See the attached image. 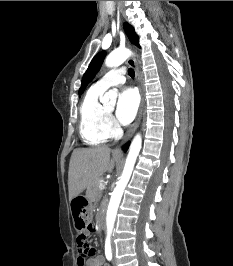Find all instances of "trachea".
<instances>
[{"mask_svg": "<svg viewBox=\"0 0 233 266\" xmlns=\"http://www.w3.org/2000/svg\"><path fill=\"white\" fill-rule=\"evenodd\" d=\"M128 74H129L130 77H134L135 72H134V70L132 68H129L128 69Z\"/></svg>", "mask_w": 233, "mask_h": 266, "instance_id": "3493384b", "label": "trachea"}]
</instances>
